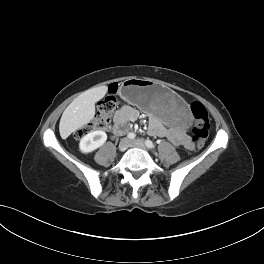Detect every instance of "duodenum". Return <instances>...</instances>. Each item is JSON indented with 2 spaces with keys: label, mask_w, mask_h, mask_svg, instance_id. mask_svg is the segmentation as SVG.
Masks as SVG:
<instances>
[{
  "label": "duodenum",
  "mask_w": 264,
  "mask_h": 264,
  "mask_svg": "<svg viewBox=\"0 0 264 264\" xmlns=\"http://www.w3.org/2000/svg\"><path fill=\"white\" fill-rule=\"evenodd\" d=\"M113 131H114L115 133H120V132H121L120 128L117 127V126L114 127Z\"/></svg>",
  "instance_id": "obj_1"
}]
</instances>
